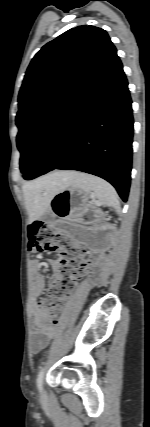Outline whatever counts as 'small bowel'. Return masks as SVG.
<instances>
[{
	"label": "small bowel",
	"mask_w": 150,
	"mask_h": 427,
	"mask_svg": "<svg viewBox=\"0 0 150 427\" xmlns=\"http://www.w3.org/2000/svg\"><path fill=\"white\" fill-rule=\"evenodd\" d=\"M48 263L52 268H57L59 265L57 260H49ZM31 269L36 292L42 293L45 289V279L39 273L40 263L38 260H32ZM55 334L56 328L49 323V314L47 311L41 308L36 309L34 314V327L31 335L32 352L37 353L45 348Z\"/></svg>",
	"instance_id": "1"
}]
</instances>
